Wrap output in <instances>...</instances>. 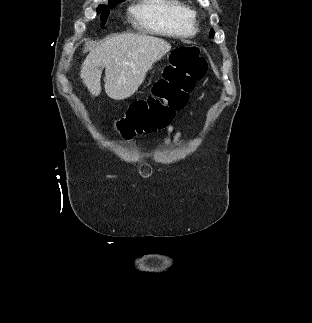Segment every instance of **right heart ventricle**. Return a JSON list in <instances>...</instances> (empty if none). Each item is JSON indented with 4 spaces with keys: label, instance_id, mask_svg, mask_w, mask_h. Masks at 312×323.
<instances>
[{
    "label": "right heart ventricle",
    "instance_id": "e07e8e85",
    "mask_svg": "<svg viewBox=\"0 0 312 323\" xmlns=\"http://www.w3.org/2000/svg\"><path fill=\"white\" fill-rule=\"evenodd\" d=\"M126 20H136L154 33H197L198 18L190 5L177 0H136L126 11Z\"/></svg>",
    "mask_w": 312,
    "mask_h": 323
}]
</instances>
